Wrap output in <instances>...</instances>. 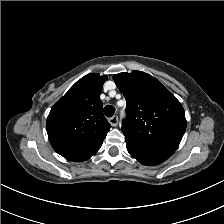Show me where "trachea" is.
I'll return each instance as SVG.
<instances>
[{"label":"trachea","mask_w":224,"mask_h":224,"mask_svg":"<svg viewBox=\"0 0 224 224\" xmlns=\"http://www.w3.org/2000/svg\"><path fill=\"white\" fill-rule=\"evenodd\" d=\"M115 113V107L112 105H107L104 108V114L106 115V117L110 118L113 116V114Z\"/></svg>","instance_id":"3493384b"}]
</instances>
